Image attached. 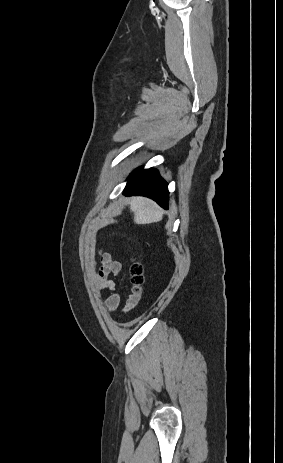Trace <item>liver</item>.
I'll list each match as a JSON object with an SVG mask.
<instances>
[{
    "label": "liver",
    "instance_id": "1",
    "mask_svg": "<svg viewBox=\"0 0 283 463\" xmlns=\"http://www.w3.org/2000/svg\"><path fill=\"white\" fill-rule=\"evenodd\" d=\"M129 204L130 210L134 213L136 224H149L158 222L163 218V211L149 199L133 197Z\"/></svg>",
    "mask_w": 283,
    "mask_h": 463
}]
</instances>
